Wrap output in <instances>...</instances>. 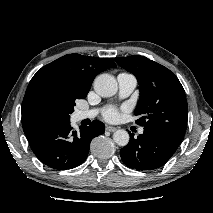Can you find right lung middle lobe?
<instances>
[{
    "label": "right lung middle lobe",
    "mask_w": 213,
    "mask_h": 213,
    "mask_svg": "<svg viewBox=\"0 0 213 213\" xmlns=\"http://www.w3.org/2000/svg\"><path fill=\"white\" fill-rule=\"evenodd\" d=\"M86 96L48 81H40L27 87L21 113L54 120H69L76 105L75 101Z\"/></svg>",
    "instance_id": "1"
}]
</instances>
